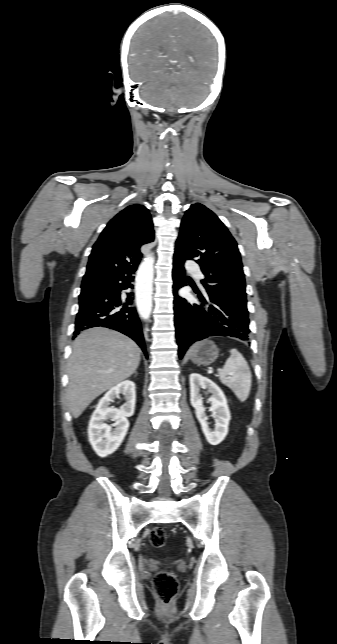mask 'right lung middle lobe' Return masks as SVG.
I'll list each match as a JSON object with an SVG mask.
<instances>
[{"label":"right lung middle lobe","mask_w":337,"mask_h":644,"mask_svg":"<svg viewBox=\"0 0 337 644\" xmlns=\"http://www.w3.org/2000/svg\"><path fill=\"white\" fill-rule=\"evenodd\" d=\"M101 282H92V283H84V284H82L81 285V294L79 295V298L84 297L87 294L91 293L95 288H97L101 284Z\"/></svg>","instance_id":"dd1d6c3e"}]
</instances>
